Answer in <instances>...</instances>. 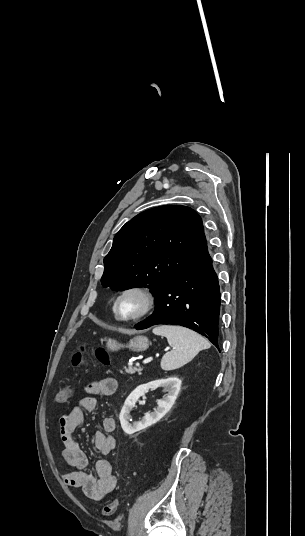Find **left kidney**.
I'll list each match as a JSON object with an SVG mask.
<instances>
[{"mask_svg":"<svg viewBox=\"0 0 305 536\" xmlns=\"http://www.w3.org/2000/svg\"><path fill=\"white\" fill-rule=\"evenodd\" d=\"M149 388H165L168 392L167 396H164L162 400H157L158 408L151 412V414H145L144 418L140 422H133L129 424V420H132L130 416L131 410L135 408L137 400L140 396H144ZM181 388V380L177 376H171V378H166V380H155V382H149V384H142L135 388L128 396L127 400L124 402V406L120 412V422L121 428L124 430L125 434H135V432H140L152 424L159 422L169 410H171Z\"/></svg>","mask_w":305,"mask_h":536,"instance_id":"1","label":"left kidney"}]
</instances>
